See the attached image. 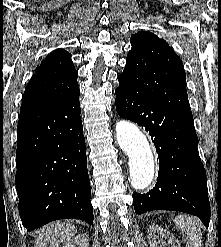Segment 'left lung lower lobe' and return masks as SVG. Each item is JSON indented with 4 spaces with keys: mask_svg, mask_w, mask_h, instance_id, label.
<instances>
[{
    "mask_svg": "<svg viewBox=\"0 0 221 247\" xmlns=\"http://www.w3.org/2000/svg\"><path fill=\"white\" fill-rule=\"evenodd\" d=\"M118 80L117 113L149 132L159 160L156 186L147 194L133 193L135 213L182 211L198 216L208 227L210 203L206 173L197 149L192 114L137 95L133 85L122 75Z\"/></svg>",
    "mask_w": 221,
    "mask_h": 247,
    "instance_id": "obj_1",
    "label": "left lung lower lobe"
}]
</instances>
